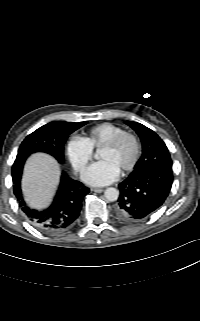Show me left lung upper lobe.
<instances>
[{
  "mask_svg": "<svg viewBox=\"0 0 200 321\" xmlns=\"http://www.w3.org/2000/svg\"><path fill=\"white\" fill-rule=\"evenodd\" d=\"M125 123L136 131L142 142V156L134 170L147 167H172L168 148L154 131L137 122L126 121Z\"/></svg>",
  "mask_w": 200,
  "mask_h": 321,
  "instance_id": "left-lung-upper-lobe-1",
  "label": "left lung upper lobe"
}]
</instances>
